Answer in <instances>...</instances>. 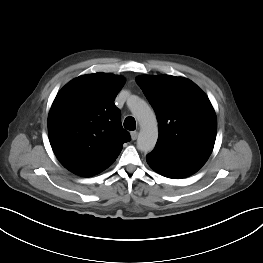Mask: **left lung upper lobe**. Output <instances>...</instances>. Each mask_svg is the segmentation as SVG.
I'll return each mask as SVG.
<instances>
[{"label": "left lung upper lobe", "mask_w": 263, "mask_h": 263, "mask_svg": "<svg viewBox=\"0 0 263 263\" xmlns=\"http://www.w3.org/2000/svg\"><path fill=\"white\" fill-rule=\"evenodd\" d=\"M155 110L156 149L209 157L215 143L216 114L206 94L192 81L171 75L136 79Z\"/></svg>", "instance_id": "1"}]
</instances>
